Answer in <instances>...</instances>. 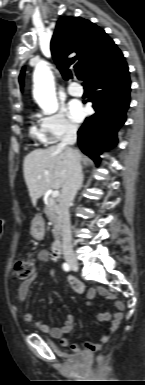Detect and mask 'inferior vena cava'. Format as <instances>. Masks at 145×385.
<instances>
[{
	"label": "inferior vena cava",
	"instance_id": "inferior-vena-cava-1",
	"mask_svg": "<svg viewBox=\"0 0 145 385\" xmlns=\"http://www.w3.org/2000/svg\"><path fill=\"white\" fill-rule=\"evenodd\" d=\"M76 140L77 126L68 124L62 141L59 144L60 147L67 148L69 150L68 176L63 184L61 195L59 197V211L62 218V248L65 257L73 255L69 207L75 198L82 178L79 158L73 149L69 147L70 145L75 144Z\"/></svg>",
	"mask_w": 145,
	"mask_h": 385
}]
</instances>
